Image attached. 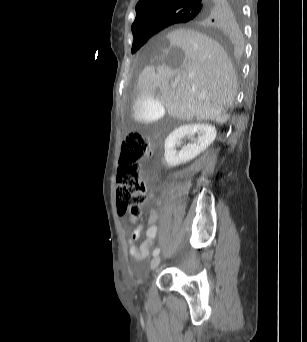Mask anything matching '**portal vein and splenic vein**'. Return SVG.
<instances>
[{
	"label": "portal vein and splenic vein",
	"mask_w": 307,
	"mask_h": 342,
	"mask_svg": "<svg viewBox=\"0 0 307 342\" xmlns=\"http://www.w3.org/2000/svg\"><path fill=\"white\" fill-rule=\"evenodd\" d=\"M188 76H193V74H188ZM177 82H171V88H176Z\"/></svg>",
	"instance_id": "18ae733b"
}]
</instances>
